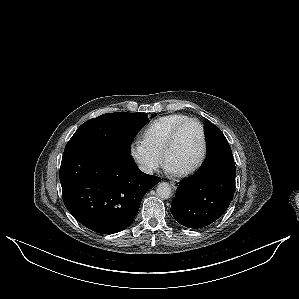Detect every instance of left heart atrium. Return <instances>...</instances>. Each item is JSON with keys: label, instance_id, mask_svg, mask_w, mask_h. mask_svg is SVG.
<instances>
[{"label": "left heart atrium", "instance_id": "left-heart-atrium-1", "mask_svg": "<svg viewBox=\"0 0 299 299\" xmlns=\"http://www.w3.org/2000/svg\"><path fill=\"white\" fill-rule=\"evenodd\" d=\"M166 170H167L168 172L175 173V169L172 168L171 166H167V167H166Z\"/></svg>", "mask_w": 299, "mask_h": 299}]
</instances>
